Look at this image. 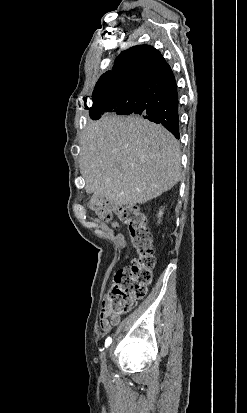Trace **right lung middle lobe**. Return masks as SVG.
Returning <instances> with one entry per match:
<instances>
[{
    "label": "right lung middle lobe",
    "mask_w": 247,
    "mask_h": 413,
    "mask_svg": "<svg viewBox=\"0 0 247 413\" xmlns=\"http://www.w3.org/2000/svg\"><path fill=\"white\" fill-rule=\"evenodd\" d=\"M135 90L127 82H102L98 81L93 91V106L112 96H134ZM90 109V108H89Z\"/></svg>",
    "instance_id": "obj_1"
}]
</instances>
